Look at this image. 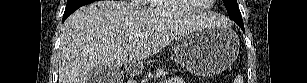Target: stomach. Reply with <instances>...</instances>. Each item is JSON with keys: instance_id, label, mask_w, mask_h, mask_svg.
I'll return each mask as SVG.
<instances>
[{"instance_id": "obj_1", "label": "stomach", "mask_w": 307, "mask_h": 83, "mask_svg": "<svg viewBox=\"0 0 307 83\" xmlns=\"http://www.w3.org/2000/svg\"><path fill=\"white\" fill-rule=\"evenodd\" d=\"M240 45L236 33L229 28H203L176 38L178 61L197 76H213L237 58Z\"/></svg>"}]
</instances>
